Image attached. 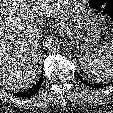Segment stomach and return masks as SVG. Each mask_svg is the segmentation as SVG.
<instances>
[{
  "mask_svg": "<svg viewBox=\"0 0 113 113\" xmlns=\"http://www.w3.org/2000/svg\"><path fill=\"white\" fill-rule=\"evenodd\" d=\"M59 29L69 36L78 52L88 53L96 49L103 25L87 0H69V13Z\"/></svg>",
  "mask_w": 113,
  "mask_h": 113,
  "instance_id": "stomach-1",
  "label": "stomach"
}]
</instances>
